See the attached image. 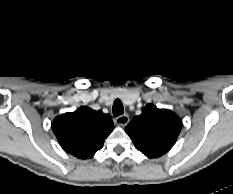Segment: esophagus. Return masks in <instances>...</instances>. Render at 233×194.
Wrapping results in <instances>:
<instances>
[{
  "instance_id": "obj_1",
  "label": "esophagus",
  "mask_w": 233,
  "mask_h": 194,
  "mask_svg": "<svg viewBox=\"0 0 233 194\" xmlns=\"http://www.w3.org/2000/svg\"><path fill=\"white\" fill-rule=\"evenodd\" d=\"M115 122L119 126H126L129 123L128 115H120L115 119Z\"/></svg>"
}]
</instances>
